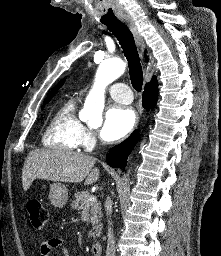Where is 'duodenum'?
I'll use <instances>...</instances> for the list:
<instances>
[{
  "instance_id": "1",
  "label": "duodenum",
  "mask_w": 221,
  "mask_h": 256,
  "mask_svg": "<svg viewBox=\"0 0 221 256\" xmlns=\"http://www.w3.org/2000/svg\"><path fill=\"white\" fill-rule=\"evenodd\" d=\"M93 256H101L102 245L99 242H95L91 246Z\"/></svg>"
}]
</instances>
